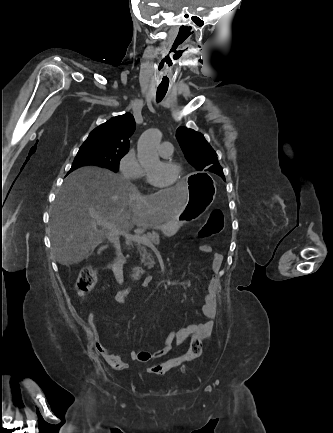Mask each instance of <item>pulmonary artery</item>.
<instances>
[{
    "instance_id": "obj_1",
    "label": "pulmonary artery",
    "mask_w": 333,
    "mask_h": 433,
    "mask_svg": "<svg viewBox=\"0 0 333 433\" xmlns=\"http://www.w3.org/2000/svg\"><path fill=\"white\" fill-rule=\"evenodd\" d=\"M173 152V146L169 142H162L159 145V153L163 157H169Z\"/></svg>"
}]
</instances>
